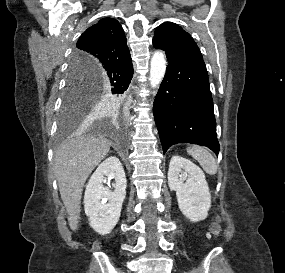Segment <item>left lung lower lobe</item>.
<instances>
[{"label":"left lung lower lobe","instance_id":"0a47b994","mask_svg":"<svg viewBox=\"0 0 285 273\" xmlns=\"http://www.w3.org/2000/svg\"><path fill=\"white\" fill-rule=\"evenodd\" d=\"M153 46L164 50L168 59L153 105L163 152L176 143H192L218 155L213 100L202 55L181 39L165 35L154 36Z\"/></svg>","mask_w":285,"mask_h":273}]
</instances>
